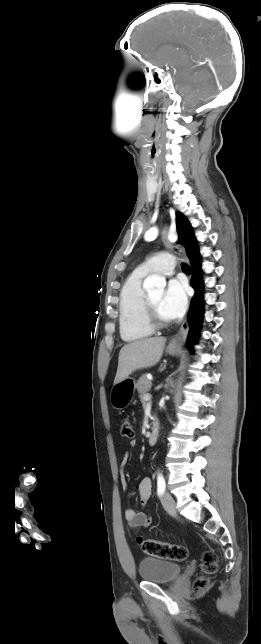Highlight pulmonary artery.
Listing matches in <instances>:
<instances>
[{"instance_id": "pulmonary-artery-1", "label": "pulmonary artery", "mask_w": 261, "mask_h": 644, "mask_svg": "<svg viewBox=\"0 0 261 644\" xmlns=\"http://www.w3.org/2000/svg\"><path fill=\"white\" fill-rule=\"evenodd\" d=\"M176 263L175 256L169 253H159L140 265L138 269L144 273H169L174 269Z\"/></svg>"}]
</instances>
